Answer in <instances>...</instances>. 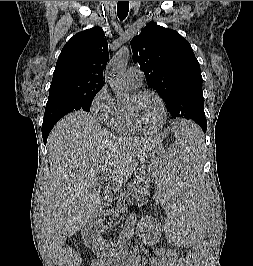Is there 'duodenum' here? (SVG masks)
<instances>
[{"mask_svg": "<svg viewBox=\"0 0 253 266\" xmlns=\"http://www.w3.org/2000/svg\"><path fill=\"white\" fill-rule=\"evenodd\" d=\"M92 230H90V233ZM90 240L93 241L94 237H90ZM103 261L104 265L103 266H115L117 264V261L113 257H103L100 259Z\"/></svg>", "mask_w": 253, "mask_h": 266, "instance_id": "1", "label": "duodenum"}]
</instances>
